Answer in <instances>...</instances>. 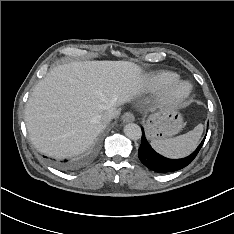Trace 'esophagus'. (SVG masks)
Listing matches in <instances>:
<instances>
[{
  "label": "esophagus",
  "mask_w": 234,
  "mask_h": 234,
  "mask_svg": "<svg viewBox=\"0 0 234 234\" xmlns=\"http://www.w3.org/2000/svg\"><path fill=\"white\" fill-rule=\"evenodd\" d=\"M134 120H135V117H134L133 113H131V112H126L122 115V121L124 123L133 122Z\"/></svg>",
  "instance_id": "obj_1"
}]
</instances>
